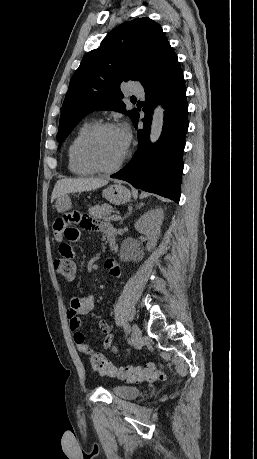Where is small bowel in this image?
I'll list each match as a JSON object with an SVG mask.
<instances>
[{"label":"small bowel","mask_w":257,"mask_h":459,"mask_svg":"<svg viewBox=\"0 0 257 459\" xmlns=\"http://www.w3.org/2000/svg\"><path fill=\"white\" fill-rule=\"evenodd\" d=\"M83 226L85 229L95 232L106 233L108 230L115 232L112 224L100 221L99 217H88L87 213H77V211H62L61 217H55L53 222V231L55 236L62 243L59 244L60 258L65 261H82L83 254L76 249L77 241L80 239L79 229L75 225ZM105 267L109 274L114 278L121 276V270L114 259H107ZM95 307V297L92 294L84 296H74L66 310V317L69 322V328L73 332V339L78 351L83 354H89L90 348L85 342V335L81 331V315L90 313ZM98 327L105 334L104 347L113 352L117 349L112 346L113 334L110 326L104 321H98Z\"/></svg>","instance_id":"small-bowel-1"}]
</instances>
